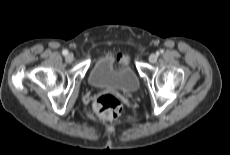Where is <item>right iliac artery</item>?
I'll return each instance as SVG.
<instances>
[{
  "label": "right iliac artery",
  "instance_id": "right-iliac-artery-1",
  "mask_svg": "<svg viewBox=\"0 0 230 155\" xmlns=\"http://www.w3.org/2000/svg\"><path fill=\"white\" fill-rule=\"evenodd\" d=\"M62 54H63L64 56H66V55L68 54V50H66V49L63 50V51H62Z\"/></svg>",
  "mask_w": 230,
  "mask_h": 155
}]
</instances>
